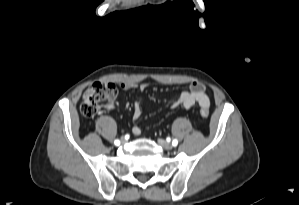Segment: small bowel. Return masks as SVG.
<instances>
[{
	"mask_svg": "<svg viewBox=\"0 0 299 205\" xmlns=\"http://www.w3.org/2000/svg\"><path fill=\"white\" fill-rule=\"evenodd\" d=\"M123 89L138 88L141 92L147 89V84H135V83H122L120 85ZM194 104H198L200 107L209 108L210 100L205 93V87L203 84L197 81L190 83L189 89L183 91L179 97L172 103V108L182 106L184 108H190ZM143 113V108L141 102L136 100L133 103V119L138 120ZM132 133L136 136L141 134V128L139 126H134L132 128Z\"/></svg>",
	"mask_w": 299,
	"mask_h": 205,
	"instance_id": "small-bowel-1",
	"label": "small bowel"
}]
</instances>
